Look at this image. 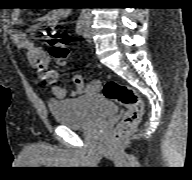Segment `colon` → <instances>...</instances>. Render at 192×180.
Here are the masks:
<instances>
[{
	"label": "colon",
	"instance_id": "5ec220e1",
	"mask_svg": "<svg viewBox=\"0 0 192 180\" xmlns=\"http://www.w3.org/2000/svg\"><path fill=\"white\" fill-rule=\"evenodd\" d=\"M44 36L50 44L49 53L59 63H64L68 56L69 37L56 27L45 28ZM103 95L126 108V112L113 132V140H118L129 133L140 121L143 105L138 94L130 87L115 80H108L102 87Z\"/></svg>",
	"mask_w": 192,
	"mask_h": 180
}]
</instances>
